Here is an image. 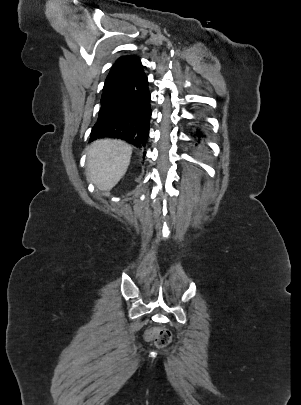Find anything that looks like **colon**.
<instances>
[{
  "label": "colon",
  "instance_id": "5ec220e1",
  "mask_svg": "<svg viewBox=\"0 0 301 405\" xmlns=\"http://www.w3.org/2000/svg\"><path fill=\"white\" fill-rule=\"evenodd\" d=\"M146 339L153 341L157 347L163 348L171 342L172 335L166 328H156L147 331Z\"/></svg>",
  "mask_w": 301,
  "mask_h": 405
}]
</instances>
